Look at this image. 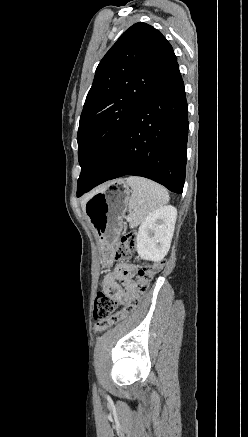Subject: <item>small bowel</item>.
Listing matches in <instances>:
<instances>
[{
  "mask_svg": "<svg viewBox=\"0 0 248 437\" xmlns=\"http://www.w3.org/2000/svg\"><path fill=\"white\" fill-rule=\"evenodd\" d=\"M136 272V266L133 264H120L105 276L103 280V290L120 300L127 303L136 291V284L133 279Z\"/></svg>",
  "mask_w": 248,
  "mask_h": 437,
  "instance_id": "small-bowel-1",
  "label": "small bowel"
}]
</instances>
